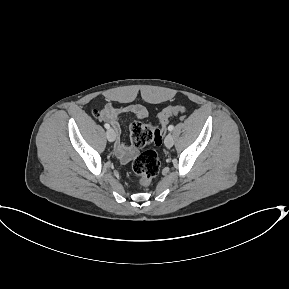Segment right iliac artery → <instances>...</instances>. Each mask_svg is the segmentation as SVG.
I'll return each instance as SVG.
<instances>
[{
	"instance_id": "1",
	"label": "right iliac artery",
	"mask_w": 289,
	"mask_h": 289,
	"mask_svg": "<svg viewBox=\"0 0 289 289\" xmlns=\"http://www.w3.org/2000/svg\"><path fill=\"white\" fill-rule=\"evenodd\" d=\"M104 127H105L106 129H109V128H110V125H109L108 123H106V124H104Z\"/></svg>"
}]
</instances>
